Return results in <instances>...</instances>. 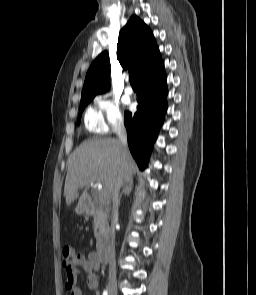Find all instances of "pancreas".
Here are the masks:
<instances>
[{
    "mask_svg": "<svg viewBox=\"0 0 256 295\" xmlns=\"http://www.w3.org/2000/svg\"><path fill=\"white\" fill-rule=\"evenodd\" d=\"M94 217V235L99 241L102 236H104L108 231L107 215L101 211L96 210L93 214Z\"/></svg>",
    "mask_w": 256,
    "mask_h": 295,
    "instance_id": "1",
    "label": "pancreas"
}]
</instances>
